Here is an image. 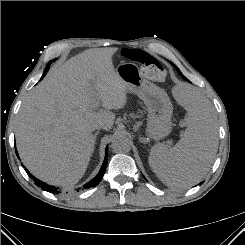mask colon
Listing matches in <instances>:
<instances>
[{
	"instance_id": "obj_1",
	"label": "colon",
	"mask_w": 245,
	"mask_h": 245,
	"mask_svg": "<svg viewBox=\"0 0 245 245\" xmlns=\"http://www.w3.org/2000/svg\"><path fill=\"white\" fill-rule=\"evenodd\" d=\"M124 56L129 60L140 63L146 77L156 81H162L166 78L167 72L165 68L154 56H151L142 50L134 49L125 50Z\"/></svg>"
}]
</instances>
